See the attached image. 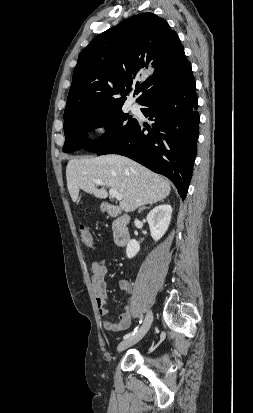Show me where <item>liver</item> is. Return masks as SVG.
Listing matches in <instances>:
<instances>
[{"instance_id":"1","label":"liver","mask_w":253,"mask_h":413,"mask_svg":"<svg viewBox=\"0 0 253 413\" xmlns=\"http://www.w3.org/2000/svg\"><path fill=\"white\" fill-rule=\"evenodd\" d=\"M66 179L73 202L77 201L80 189L105 199L108 197L106 186L122 194L119 207L125 212L161 201L171 191L168 180L120 155L71 159L66 167ZM94 180H101L103 187L98 189Z\"/></svg>"}]
</instances>
